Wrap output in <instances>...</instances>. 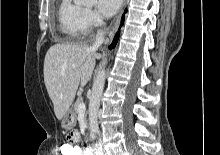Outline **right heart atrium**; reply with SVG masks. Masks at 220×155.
<instances>
[{
	"mask_svg": "<svg viewBox=\"0 0 220 155\" xmlns=\"http://www.w3.org/2000/svg\"><path fill=\"white\" fill-rule=\"evenodd\" d=\"M102 24L103 20L97 12L91 9H85L84 25L86 33L92 32L94 29L100 27Z\"/></svg>",
	"mask_w": 220,
	"mask_h": 155,
	"instance_id": "d8ad5b80",
	"label": "right heart atrium"
}]
</instances>
